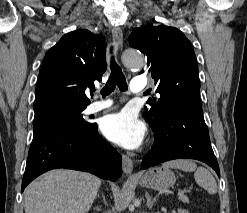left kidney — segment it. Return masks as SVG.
Returning <instances> with one entry per match:
<instances>
[{"mask_svg":"<svg viewBox=\"0 0 247 213\" xmlns=\"http://www.w3.org/2000/svg\"><path fill=\"white\" fill-rule=\"evenodd\" d=\"M178 213H189V211L188 210H184V209H180V210H178Z\"/></svg>","mask_w":247,"mask_h":213,"instance_id":"1","label":"left kidney"}]
</instances>
